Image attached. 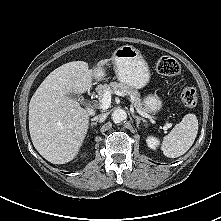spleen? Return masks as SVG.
<instances>
[{"label":"spleen","mask_w":221,"mask_h":221,"mask_svg":"<svg viewBox=\"0 0 221 221\" xmlns=\"http://www.w3.org/2000/svg\"><path fill=\"white\" fill-rule=\"evenodd\" d=\"M198 133V119L195 114H186L171 132L164 136L161 150L166 157L177 158L193 145Z\"/></svg>","instance_id":"obj_1"}]
</instances>
